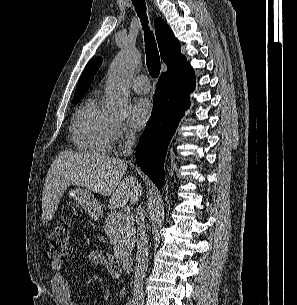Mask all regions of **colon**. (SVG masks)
Wrapping results in <instances>:
<instances>
[{"label": "colon", "mask_w": 297, "mask_h": 305, "mask_svg": "<svg viewBox=\"0 0 297 305\" xmlns=\"http://www.w3.org/2000/svg\"><path fill=\"white\" fill-rule=\"evenodd\" d=\"M70 220L61 217L53 228L46 245L47 254L55 259H63L70 254Z\"/></svg>", "instance_id": "5ec220e1"}]
</instances>
